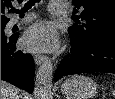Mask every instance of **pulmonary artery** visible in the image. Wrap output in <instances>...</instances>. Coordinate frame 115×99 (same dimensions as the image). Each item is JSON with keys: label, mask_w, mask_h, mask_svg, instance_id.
Instances as JSON below:
<instances>
[{"label": "pulmonary artery", "mask_w": 115, "mask_h": 99, "mask_svg": "<svg viewBox=\"0 0 115 99\" xmlns=\"http://www.w3.org/2000/svg\"><path fill=\"white\" fill-rule=\"evenodd\" d=\"M49 11L52 14L61 15L66 12V6L62 1H51L49 5ZM33 17L34 15L28 14L21 19L17 18L11 19L8 23V26L13 27L14 25H19L21 23L30 21L31 19H33Z\"/></svg>", "instance_id": "e3ab8cb5"}]
</instances>
